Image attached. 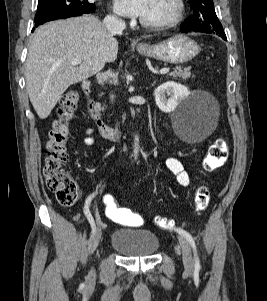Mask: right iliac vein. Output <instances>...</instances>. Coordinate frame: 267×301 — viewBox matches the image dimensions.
<instances>
[{
    "instance_id": "right-iliac-vein-1",
    "label": "right iliac vein",
    "mask_w": 267,
    "mask_h": 301,
    "mask_svg": "<svg viewBox=\"0 0 267 301\" xmlns=\"http://www.w3.org/2000/svg\"><path fill=\"white\" fill-rule=\"evenodd\" d=\"M100 238H101V228H100V226H98L95 233L93 234L90 244H89L90 254L94 253L95 250L97 249L99 242H100ZM88 279H89V281H93L95 279V272L93 269L90 271Z\"/></svg>"
}]
</instances>
